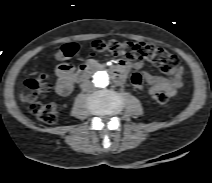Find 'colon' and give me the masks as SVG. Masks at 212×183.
<instances>
[{
	"label": "colon",
	"mask_w": 212,
	"mask_h": 183,
	"mask_svg": "<svg viewBox=\"0 0 212 183\" xmlns=\"http://www.w3.org/2000/svg\"><path fill=\"white\" fill-rule=\"evenodd\" d=\"M90 49L94 53H110L127 60H148L153 62L162 72L172 76H175L179 70V60L175 55L164 48L142 42L96 40L91 43ZM77 51V44L67 43L53 48L51 56L65 60L72 57ZM61 66L71 67L66 63L61 64ZM25 86L27 89L26 100L32 114L45 123L55 122L57 118L56 104L44 100L51 89L47 76L39 73L29 78L25 82ZM152 99L157 104H165L169 95L161 91L153 94Z\"/></svg>",
	"instance_id": "colon-1"
}]
</instances>
